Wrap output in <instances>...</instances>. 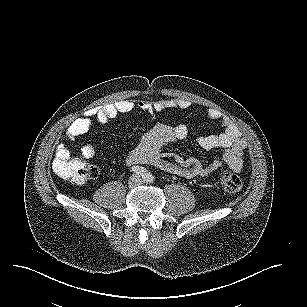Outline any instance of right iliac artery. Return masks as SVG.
I'll return each mask as SVG.
<instances>
[{"instance_id":"obj_1","label":"right iliac artery","mask_w":307,"mask_h":307,"mask_svg":"<svg viewBox=\"0 0 307 307\" xmlns=\"http://www.w3.org/2000/svg\"><path fill=\"white\" fill-rule=\"evenodd\" d=\"M131 171L137 175L142 176L143 179L148 176L146 169H144L143 167L134 166L131 168Z\"/></svg>"}]
</instances>
